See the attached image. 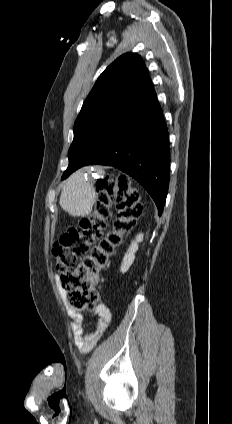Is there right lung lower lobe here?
I'll use <instances>...</instances> for the list:
<instances>
[{
    "label": "right lung lower lobe",
    "instance_id": "right-lung-lower-lobe-1",
    "mask_svg": "<svg viewBox=\"0 0 232 424\" xmlns=\"http://www.w3.org/2000/svg\"><path fill=\"white\" fill-rule=\"evenodd\" d=\"M129 121L113 130L82 166H114L137 180L162 214L169 185V139L157 96L132 107Z\"/></svg>",
    "mask_w": 232,
    "mask_h": 424
}]
</instances>
